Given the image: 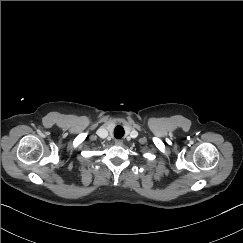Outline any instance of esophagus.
I'll return each mask as SVG.
<instances>
[{"label": "esophagus", "instance_id": "1", "mask_svg": "<svg viewBox=\"0 0 243 243\" xmlns=\"http://www.w3.org/2000/svg\"><path fill=\"white\" fill-rule=\"evenodd\" d=\"M115 144L118 146H121V145H123V141L121 139H116Z\"/></svg>", "mask_w": 243, "mask_h": 243}]
</instances>
